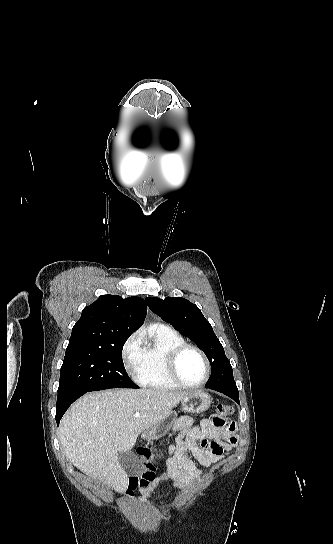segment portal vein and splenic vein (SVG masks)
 <instances>
[{"label": "portal vein and splenic vein", "instance_id": "obj_1", "mask_svg": "<svg viewBox=\"0 0 333 544\" xmlns=\"http://www.w3.org/2000/svg\"><path fill=\"white\" fill-rule=\"evenodd\" d=\"M133 416H134L135 418H138V417H140V413L136 412Z\"/></svg>", "mask_w": 333, "mask_h": 544}]
</instances>
